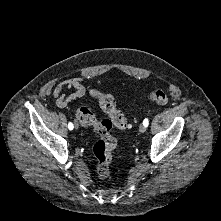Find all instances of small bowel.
I'll return each instance as SVG.
<instances>
[{
	"label": "small bowel",
	"mask_w": 221,
	"mask_h": 221,
	"mask_svg": "<svg viewBox=\"0 0 221 221\" xmlns=\"http://www.w3.org/2000/svg\"><path fill=\"white\" fill-rule=\"evenodd\" d=\"M65 89L73 90L70 94L62 93ZM86 94V88L83 85V78L73 77L62 81L54 89L53 95L58 97L57 105L65 106L68 102L75 98L82 97Z\"/></svg>",
	"instance_id": "1"
}]
</instances>
